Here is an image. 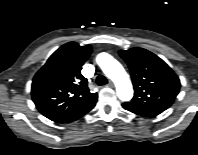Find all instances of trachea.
Instances as JSON below:
<instances>
[{
    "label": "trachea",
    "mask_w": 198,
    "mask_h": 155,
    "mask_svg": "<svg viewBox=\"0 0 198 155\" xmlns=\"http://www.w3.org/2000/svg\"><path fill=\"white\" fill-rule=\"evenodd\" d=\"M96 83H97L99 86H102V85L107 84V83H108V80L106 79L105 76L99 75V76L96 78Z\"/></svg>",
    "instance_id": "3493384b"
}]
</instances>
